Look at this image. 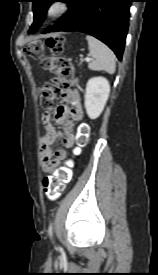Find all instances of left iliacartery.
<instances>
[{"label":"left iliac artery","instance_id":"obj_1","mask_svg":"<svg viewBox=\"0 0 158 275\" xmlns=\"http://www.w3.org/2000/svg\"><path fill=\"white\" fill-rule=\"evenodd\" d=\"M52 228H53L52 223H50L48 232L51 238H52Z\"/></svg>","mask_w":158,"mask_h":275}]
</instances>
